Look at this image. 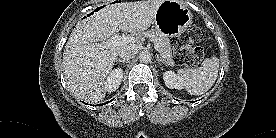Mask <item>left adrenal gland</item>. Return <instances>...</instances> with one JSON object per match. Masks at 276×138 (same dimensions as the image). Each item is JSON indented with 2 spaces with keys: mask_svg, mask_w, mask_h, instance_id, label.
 Segmentation results:
<instances>
[{
  "mask_svg": "<svg viewBox=\"0 0 276 138\" xmlns=\"http://www.w3.org/2000/svg\"><path fill=\"white\" fill-rule=\"evenodd\" d=\"M156 60H157V62H161V63L165 64L166 66L168 65L162 58H160L158 56V54L156 55Z\"/></svg>",
  "mask_w": 276,
  "mask_h": 138,
  "instance_id": "obj_1",
  "label": "left adrenal gland"
}]
</instances>
